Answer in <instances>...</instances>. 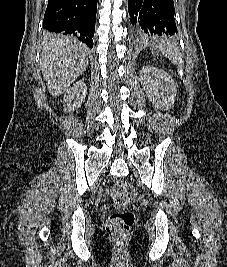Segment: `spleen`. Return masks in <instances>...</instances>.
Segmentation results:
<instances>
[{
    "label": "spleen",
    "mask_w": 227,
    "mask_h": 267,
    "mask_svg": "<svg viewBox=\"0 0 227 267\" xmlns=\"http://www.w3.org/2000/svg\"><path fill=\"white\" fill-rule=\"evenodd\" d=\"M157 48H159L162 53L170 60H173L175 62V46L170 42H161Z\"/></svg>",
    "instance_id": "obj_1"
}]
</instances>
